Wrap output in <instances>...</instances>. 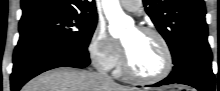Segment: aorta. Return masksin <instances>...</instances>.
I'll use <instances>...</instances> for the list:
<instances>
[{"label":"aorta","instance_id":"obj_1","mask_svg":"<svg viewBox=\"0 0 220 91\" xmlns=\"http://www.w3.org/2000/svg\"><path fill=\"white\" fill-rule=\"evenodd\" d=\"M106 18L109 21V32L113 37H120L126 27L132 26L131 20L122 11L119 0H102Z\"/></svg>","mask_w":220,"mask_h":91}]
</instances>
